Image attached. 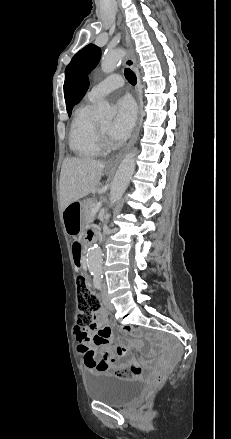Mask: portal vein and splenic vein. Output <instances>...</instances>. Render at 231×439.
<instances>
[{"instance_id": "18ae733b", "label": "portal vein and splenic vein", "mask_w": 231, "mask_h": 439, "mask_svg": "<svg viewBox=\"0 0 231 439\" xmlns=\"http://www.w3.org/2000/svg\"><path fill=\"white\" fill-rule=\"evenodd\" d=\"M100 206H101V202H98V203L95 205V207L92 209V211H91V215H94V214L99 210Z\"/></svg>"}]
</instances>
